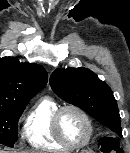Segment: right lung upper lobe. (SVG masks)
I'll list each match as a JSON object with an SVG mask.
<instances>
[{
	"label": "right lung upper lobe",
	"instance_id": "right-lung-upper-lobe-1",
	"mask_svg": "<svg viewBox=\"0 0 130 153\" xmlns=\"http://www.w3.org/2000/svg\"><path fill=\"white\" fill-rule=\"evenodd\" d=\"M47 83V73L36 64L20 63L13 57L0 58V105H23Z\"/></svg>",
	"mask_w": 130,
	"mask_h": 153
}]
</instances>
